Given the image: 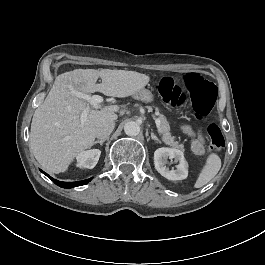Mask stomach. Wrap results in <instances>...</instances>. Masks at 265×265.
Masks as SVG:
<instances>
[{
  "label": "stomach",
  "mask_w": 265,
  "mask_h": 265,
  "mask_svg": "<svg viewBox=\"0 0 265 265\" xmlns=\"http://www.w3.org/2000/svg\"><path fill=\"white\" fill-rule=\"evenodd\" d=\"M134 98L145 103H153L155 101L153 93L144 88L136 92Z\"/></svg>",
  "instance_id": "obj_1"
}]
</instances>
